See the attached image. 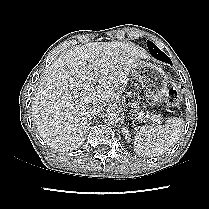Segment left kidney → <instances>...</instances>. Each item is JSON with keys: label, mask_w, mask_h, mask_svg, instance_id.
<instances>
[{"label": "left kidney", "mask_w": 209, "mask_h": 209, "mask_svg": "<svg viewBox=\"0 0 209 209\" xmlns=\"http://www.w3.org/2000/svg\"><path fill=\"white\" fill-rule=\"evenodd\" d=\"M122 133H123V136L125 137V139L129 138V130H128V128L124 127L122 129Z\"/></svg>", "instance_id": "left-kidney-1"}]
</instances>
